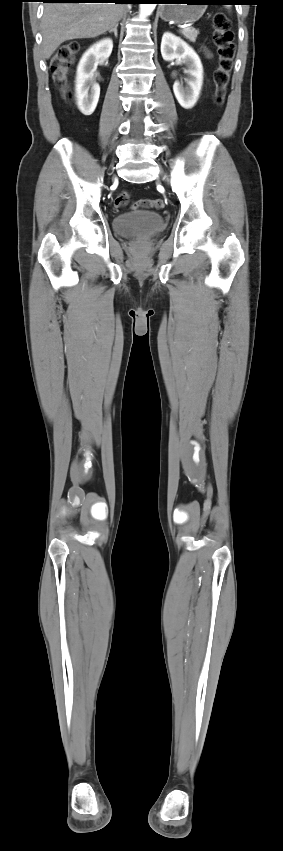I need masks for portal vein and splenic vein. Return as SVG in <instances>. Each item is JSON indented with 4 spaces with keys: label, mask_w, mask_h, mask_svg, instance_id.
I'll return each mask as SVG.
<instances>
[{
    "label": "portal vein and splenic vein",
    "mask_w": 283,
    "mask_h": 851,
    "mask_svg": "<svg viewBox=\"0 0 283 851\" xmlns=\"http://www.w3.org/2000/svg\"><path fill=\"white\" fill-rule=\"evenodd\" d=\"M183 29H188L187 26H183Z\"/></svg>",
    "instance_id": "portal-vein-and-splenic-vein-1"
}]
</instances>
